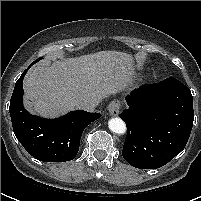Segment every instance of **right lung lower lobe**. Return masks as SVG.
Listing matches in <instances>:
<instances>
[{
	"label": "right lung lower lobe",
	"instance_id": "right-lung-lower-lobe-1",
	"mask_svg": "<svg viewBox=\"0 0 201 201\" xmlns=\"http://www.w3.org/2000/svg\"><path fill=\"white\" fill-rule=\"evenodd\" d=\"M15 84L9 112L13 131L35 159L43 162H65L75 158L82 133L87 125L101 117L100 113L71 111L57 119H44L30 114L23 106V77Z\"/></svg>",
	"mask_w": 201,
	"mask_h": 201
}]
</instances>
